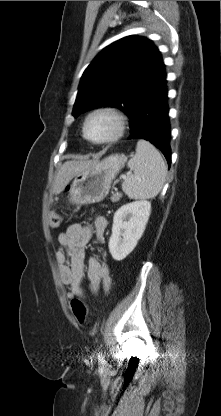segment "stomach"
I'll return each mask as SVG.
<instances>
[{
    "mask_svg": "<svg viewBox=\"0 0 221 416\" xmlns=\"http://www.w3.org/2000/svg\"><path fill=\"white\" fill-rule=\"evenodd\" d=\"M126 160L123 154H112L75 175L69 187V201L76 205L102 201Z\"/></svg>",
    "mask_w": 221,
    "mask_h": 416,
    "instance_id": "obj_1",
    "label": "stomach"
}]
</instances>
